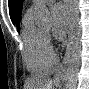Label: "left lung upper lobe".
<instances>
[{
  "mask_svg": "<svg viewBox=\"0 0 89 89\" xmlns=\"http://www.w3.org/2000/svg\"><path fill=\"white\" fill-rule=\"evenodd\" d=\"M21 4V0H9V13L12 22L15 21L16 9Z\"/></svg>",
  "mask_w": 89,
  "mask_h": 89,
  "instance_id": "left-lung-upper-lobe-1",
  "label": "left lung upper lobe"
}]
</instances>
